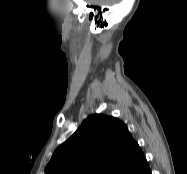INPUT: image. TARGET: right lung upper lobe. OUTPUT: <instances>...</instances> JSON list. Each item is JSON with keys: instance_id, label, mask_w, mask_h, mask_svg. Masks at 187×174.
<instances>
[{"instance_id": "cb5924a9", "label": "right lung upper lobe", "mask_w": 187, "mask_h": 174, "mask_svg": "<svg viewBox=\"0 0 187 174\" xmlns=\"http://www.w3.org/2000/svg\"><path fill=\"white\" fill-rule=\"evenodd\" d=\"M147 161L117 118L90 115L53 153L45 174H143Z\"/></svg>"}]
</instances>
